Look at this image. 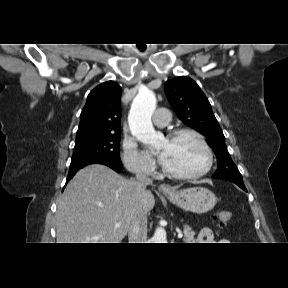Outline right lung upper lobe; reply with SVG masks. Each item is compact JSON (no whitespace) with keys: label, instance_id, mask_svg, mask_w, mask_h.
<instances>
[{"label":"right lung upper lobe","instance_id":"cb5924a9","mask_svg":"<svg viewBox=\"0 0 288 288\" xmlns=\"http://www.w3.org/2000/svg\"><path fill=\"white\" fill-rule=\"evenodd\" d=\"M121 92L116 82L107 81L89 93L80 115L76 141L121 132Z\"/></svg>","mask_w":288,"mask_h":288}]
</instances>
